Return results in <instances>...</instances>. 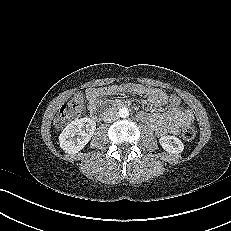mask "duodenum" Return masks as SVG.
Here are the masks:
<instances>
[{"mask_svg": "<svg viewBox=\"0 0 231 231\" xmlns=\"http://www.w3.org/2000/svg\"><path fill=\"white\" fill-rule=\"evenodd\" d=\"M114 106L117 107V108H121V107H124L125 104L123 102H121V101H118V102H115ZM111 110H112V108H107L106 110H104L103 113L104 114L110 113Z\"/></svg>", "mask_w": 231, "mask_h": 231, "instance_id": "obj_1", "label": "duodenum"}]
</instances>
